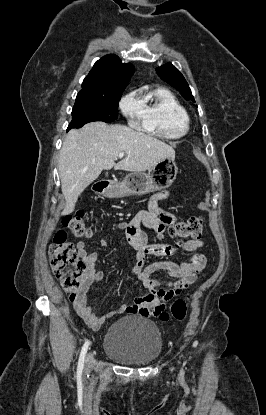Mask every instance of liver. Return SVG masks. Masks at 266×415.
<instances>
[{
  "mask_svg": "<svg viewBox=\"0 0 266 415\" xmlns=\"http://www.w3.org/2000/svg\"><path fill=\"white\" fill-rule=\"evenodd\" d=\"M121 152L126 157L115 164ZM164 158H175L171 146L124 125L91 122L80 130H71L63 142L58 164L66 201L62 215L74 211L78 197L103 170L114 167L140 173Z\"/></svg>",
  "mask_w": 266,
  "mask_h": 415,
  "instance_id": "obj_1",
  "label": "liver"
}]
</instances>
